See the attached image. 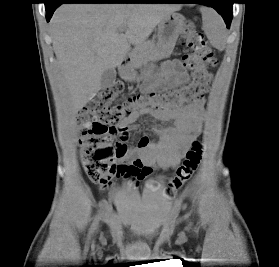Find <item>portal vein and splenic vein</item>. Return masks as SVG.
Returning a JSON list of instances; mask_svg holds the SVG:
<instances>
[{
  "instance_id": "18ae733b",
  "label": "portal vein and splenic vein",
  "mask_w": 279,
  "mask_h": 267,
  "mask_svg": "<svg viewBox=\"0 0 279 267\" xmlns=\"http://www.w3.org/2000/svg\"><path fill=\"white\" fill-rule=\"evenodd\" d=\"M118 30H119V32H124V31H125V28H124V27H121V28H119Z\"/></svg>"
}]
</instances>
